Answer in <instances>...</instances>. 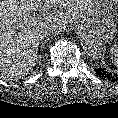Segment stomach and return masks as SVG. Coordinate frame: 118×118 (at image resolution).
Wrapping results in <instances>:
<instances>
[{
  "label": "stomach",
  "mask_w": 118,
  "mask_h": 118,
  "mask_svg": "<svg viewBox=\"0 0 118 118\" xmlns=\"http://www.w3.org/2000/svg\"><path fill=\"white\" fill-rule=\"evenodd\" d=\"M116 23L112 16L104 15L97 21L96 31L103 40H111L115 33Z\"/></svg>",
  "instance_id": "obj_1"
}]
</instances>
